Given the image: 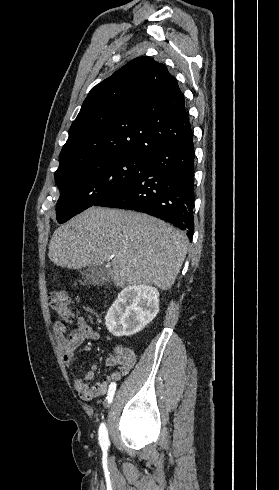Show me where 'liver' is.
<instances>
[{"label":"liver","mask_w":279,"mask_h":490,"mask_svg":"<svg viewBox=\"0 0 279 490\" xmlns=\"http://www.w3.org/2000/svg\"><path fill=\"white\" fill-rule=\"evenodd\" d=\"M188 246L184 232L153 216L93 206L55 230L48 258L69 270L109 262L117 288L152 284L170 290Z\"/></svg>","instance_id":"obj_1"}]
</instances>
